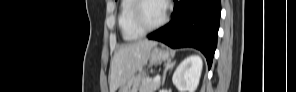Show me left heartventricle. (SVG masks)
Instances as JSON below:
<instances>
[{
	"mask_svg": "<svg viewBox=\"0 0 296 92\" xmlns=\"http://www.w3.org/2000/svg\"><path fill=\"white\" fill-rule=\"evenodd\" d=\"M164 7L160 1H147L142 8V18L145 24L153 25L161 20Z\"/></svg>",
	"mask_w": 296,
	"mask_h": 92,
	"instance_id": "1",
	"label": "left heart ventricle"
}]
</instances>
